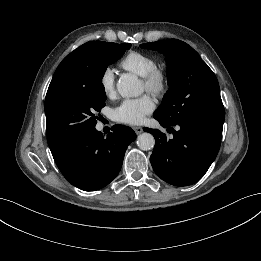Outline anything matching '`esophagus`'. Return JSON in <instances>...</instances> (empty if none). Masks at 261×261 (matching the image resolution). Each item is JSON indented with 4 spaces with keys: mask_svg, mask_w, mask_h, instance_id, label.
Returning a JSON list of instances; mask_svg holds the SVG:
<instances>
[{
    "mask_svg": "<svg viewBox=\"0 0 261 261\" xmlns=\"http://www.w3.org/2000/svg\"><path fill=\"white\" fill-rule=\"evenodd\" d=\"M136 134H141L143 132V128L140 126H136L133 128Z\"/></svg>",
    "mask_w": 261,
    "mask_h": 261,
    "instance_id": "1",
    "label": "esophagus"
}]
</instances>
